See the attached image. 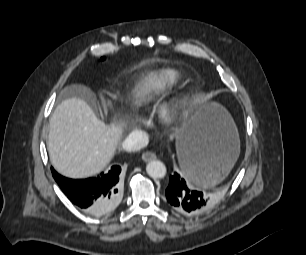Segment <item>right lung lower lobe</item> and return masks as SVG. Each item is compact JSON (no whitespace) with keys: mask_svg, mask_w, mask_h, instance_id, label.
I'll return each instance as SVG.
<instances>
[{"mask_svg":"<svg viewBox=\"0 0 306 255\" xmlns=\"http://www.w3.org/2000/svg\"><path fill=\"white\" fill-rule=\"evenodd\" d=\"M52 175L68 199L84 212L102 216L111 212L121 197V167L114 165L100 176L73 180L58 174Z\"/></svg>","mask_w":306,"mask_h":255,"instance_id":"1","label":"right lung lower lobe"}]
</instances>
